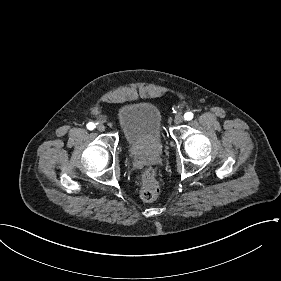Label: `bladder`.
<instances>
[{
    "instance_id": "31cf9c89",
    "label": "bladder",
    "mask_w": 281,
    "mask_h": 281,
    "mask_svg": "<svg viewBox=\"0 0 281 281\" xmlns=\"http://www.w3.org/2000/svg\"><path fill=\"white\" fill-rule=\"evenodd\" d=\"M115 119L129 150L139 157H154L164 143L163 111L153 101L135 99L116 107Z\"/></svg>"
}]
</instances>
